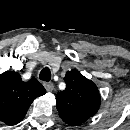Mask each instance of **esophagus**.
I'll return each instance as SVG.
<instances>
[{
  "instance_id": "1",
  "label": "esophagus",
  "mask_w": 130,
  "mask_h": 130,
  "mask_svg": "<svg viewBox=\"0 0 130 130\" xmlns=\"http://www.w3.org/2000/svg\"><path fill=\"white\" fill-rule=\"evenodd\" d=\"M43 85H44L45 89H46L47 91H49V92L54 89V84L51 83V82H45Z\"/></svg>"
}]
</instances>
